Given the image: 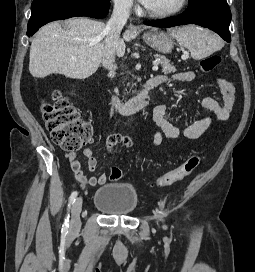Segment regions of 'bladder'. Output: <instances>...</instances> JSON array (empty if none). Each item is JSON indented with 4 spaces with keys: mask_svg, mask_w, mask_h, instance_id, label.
Here are the masks:
<instances>
[{
    "mask_svg": "<svg viewBox=\"0 0 255 272\" xmlns=\"http://www.w3.org/2000/svg\"><path fill=\"white\" fill-rule=\"evenodd\" d=\"M138 204L136 188L125 182L107 183L97 189L93 198L94 207L110 216H128Z\"/></svg>",
    "mask_w": 255,
    "mask_h": 272,
    "instance_id": "1",
    "label": "bladder"
}]
</instances>
